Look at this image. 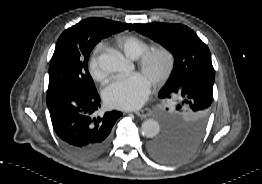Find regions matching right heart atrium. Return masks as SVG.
Masks as SVG:
<instances>
[{
    "mask_svg": "<svg viewBox=\"0 0 262 184\" xmlns=\"http://www.w3.org/2000/svg\"><path fill=\"white\" fill-rule=\"evenodd\" d=\"M90 74L93 80L105 84L110 79L111 73L108 62L103 57L93 56L90 61Z\"/></svg>",
    "mask_w": 262,
    "mask_h": 184,
    "instance_id": "obj_1",
    "label": "right heart atrium"
}]
</instances>
